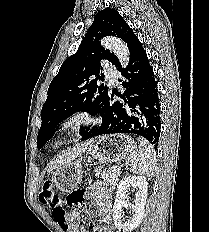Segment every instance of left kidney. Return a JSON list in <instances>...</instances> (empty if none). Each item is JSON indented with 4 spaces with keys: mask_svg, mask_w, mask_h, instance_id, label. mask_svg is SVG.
<instances>
[{
    "mask_svg": "<svg viewBox=\"0 0 209 232\" xmlns=\"http://www.w3.org/2000/svg\"><path fill=\"white\" fill-rule=\"evenodd\" d=\"M131 188L137 190L135 205L132 207L133 216L130 220L124 222L121 218V206L126 201L127 192ZM147 192L148 182L144 176H128L120 181L113 206L114 224L120 231L131 232L139 226L145 212Z\"/></svg>",
    "mask_w": 209,
    "mask_h": 232,
    "instance_id": "1",
    "label": "left kidney"
}]
</instances>
